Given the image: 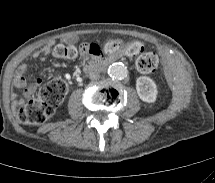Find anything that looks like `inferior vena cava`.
<instances>
[{
  "instance_id": "obj_1",
  "label": "inferior vena cava",
  "mask_w": 215,
  "mask_h": 183,
  "mask_svg": "<svg viewBox=\"0 0 215 183\" xmlns=\"http://www.w3.org/2000/svg\"><path fill=\"white\" fill-rule=\"evenodd\" d=\"M100 77V73L98 72V71H91L90 73H89V78L91 79V80H96V79H98Z\"/></svg>"
}]
</instances>
